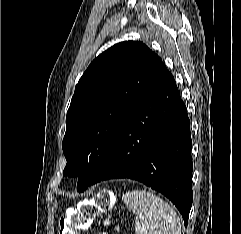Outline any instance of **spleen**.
<instances>
[{
	"label": "spleen",
	"instance_id": "3e777b00",
	"mask_svg": "<svg viewBox=\"0 0 241 234\" xmlns=\"http://www.w3.org/2000/svg\"><path fill=\"white\" fill-rule=\"evenodd\" d=\"M136 214V234H181V223L169 203L145 190H134L122 197Z\"/></svg>",
	"mask_w": 241,
	"mask_h": 234
}]
</instances>
